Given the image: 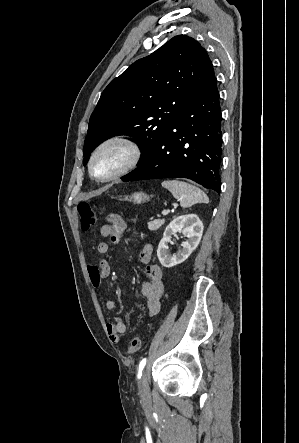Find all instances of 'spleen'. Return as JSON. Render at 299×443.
Returning <instances> with one entry per match:
<instances>
[{
	"instance_id": "1",
	"label": "spleen",
	"mask_w": 299,
	"mask_h": 443,
	"mask_svg": "<svg viewBox=\"0 0 299 443\" xmlns=\"http://www.w3.org/2000/svg\"><path fill=\"white\" fill-rule=\"evenodd\" d=\"M162 186L168 189L179 200L182 208H188L197 203H208L209 198L199 188L178 180H166Z\"/></svg>"
}]
</instances>
